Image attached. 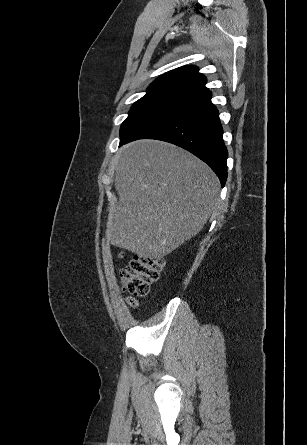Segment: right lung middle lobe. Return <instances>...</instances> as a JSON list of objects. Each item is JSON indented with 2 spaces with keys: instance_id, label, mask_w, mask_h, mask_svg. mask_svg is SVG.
Segmentation results:
<instances>
[{
  "instance_id": "right-lung-middle-lobe-1",
  "label": "right lung middle lobe",
  "mask_w": 307,
  "mask_h": 445,
  "mask_svg": "<svg viewBox=\"0 0 307 445\" xmlns=\"http://www.w3.org/2000/svg\"><path fill=\"white\" fill-rule=\"evenodd\" d=\"M185 101L177 98L145 95L136 101L129 111V116L122 123L120 138L123 139L144 125L172 111Z\"/></svg>"
}]
</instances>
